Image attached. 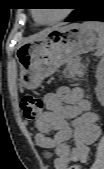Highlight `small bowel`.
Returning <instances> with one entry per match:
<instances>
[{
    "label": "small bowel",
    "mask_w": 104,
    "mask_h": 169,
    "mask_svg": "<svg viewBox=\"0 0 104 169\" xmlns=\"http://www.w3.org/2000/svg\"><path fill=\"white\" fill-rule=\"evenodd\" d=\"M46 111L36 121V143L52 151L55 169H68L70 162H85L89 146L100 136L99 116L81 88L60 87L44 95ZM71 121V123H69ZM72 139L74 147L67 141Z\"/></svg>",
    "instance_id": "c3829d8e"
}]
</instances>
